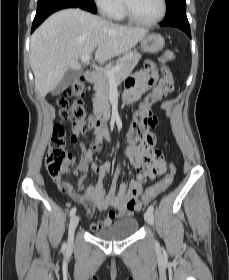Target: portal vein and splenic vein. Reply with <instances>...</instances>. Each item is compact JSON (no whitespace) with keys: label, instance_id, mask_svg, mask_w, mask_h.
<instances>
[{"label":"portal vein and splenic vein","instance_id":"18ae733b","mask_svg":"<svg viewBox=\"0 0 229 280\" xmlns=\"http://www.w3.org/2000/svg\"><path fill=\"white\" fill-rule=\"evenodd\" d=\"M90 60V55L89 54H85V55H82L81 56V61L84 62V63H87L89 62ZM93 67L96 69V70H100L102 72H104L110 80H114L115 79V73H117L120 69H121V66H117L111 70H106V69H102L101 67L97 66V65H93Z\"/></svg>","mask_w":229,"mask_h":280}]
</instances>
